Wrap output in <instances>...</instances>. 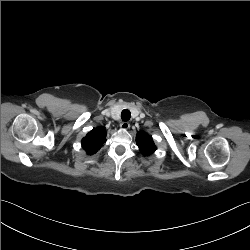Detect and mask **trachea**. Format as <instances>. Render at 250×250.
<instances>
[{
	"label": "trachea",
	"mask_w": 250,
	"mask_h": 250,
	"mask_svg": "<svg viewBox=\"0 0 250 250\" xmlns=\"http://www.w3.org/2000/svg\"><path fill=\"white\" fill-rule=\"evenodd\" d=\"M131 118V112L128 109H124L121 113V119L123 121H128Z\"/></svg>",
	"instance_id": "trachea-1"
}]
</instances>
